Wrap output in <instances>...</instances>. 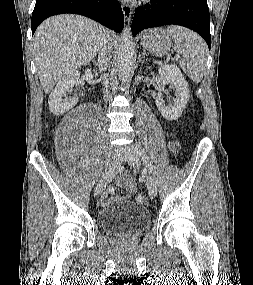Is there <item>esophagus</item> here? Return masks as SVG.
I'll list each match as a JSON object with an SVG mask.
<instances>
[{
	"mask_svg": "<svg viewBox=\"0 0 253 285\" xmlns=\"http://www.w3.org/2000/svg\"><path fill=\"white\" fill-rule=\"evenodd\" d=\"M122 11H123L125 20L129 22L131 19L132 13H133L131 6L128 4H123Z\"/></svg>",
	"mask_w": 253,
	"mask_h": 285,
	"instance_id": "obj_1",
	"label": "esophagus"
}]
</instances>
